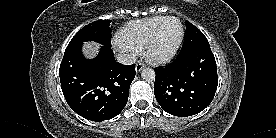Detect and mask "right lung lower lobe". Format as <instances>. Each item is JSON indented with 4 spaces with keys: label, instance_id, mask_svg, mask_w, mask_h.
I'll use <instances>...</instances> for the list:
<instances>
[{
    "label": "right lung lower lobe",
    "instance_id": "obj_1",
    "mask_svg": "<svg viewBox=\"0 0 276 138\" xmlns=\"http://www.w3.org/2000/svg\"><path fill=\"white\" fill-rule=\"evenodd\" d=\"M59 76L71 109L83 118L101 122L117 116L125 107L135 65L116 62L111 47L105 45L97 57L86 59L80 45L65 50Z\"/></svg>",
    "mask_w": 276,
    "mask_h": 138
}]
</instances>
